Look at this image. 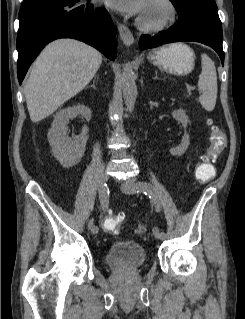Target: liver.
Segmentation results:
<instances>
[{
  "mask_svg": "<svg viewBox=\"0 0 245 319\" xmlns=\"http://www.w3.org/2000/svg\"><path fill=\"white\" fill-rule=\"evenodd\" d=\"M102 63V54L74 39L47 45L33 64L25 84L30 119L36 123L82 91Z\"/></svg>",
  "mask_w": 245,
  "mask_h": 319,
  "instance_id": "obj_1",
  "label": "liver"
}]
</instances>
